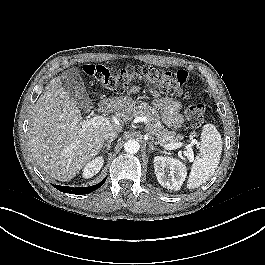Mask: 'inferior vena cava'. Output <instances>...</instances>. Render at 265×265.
I'll return each instance as SVG.
<instances>
[{
    "label": "inferior vena cava",
    "instance_id": "602c4592",
    "mask_svg": "<svg viewBox=\"0 0 265 265\" xmlns=\"http://www.w3.org/2000/svg\"><path fill=\"white\" fill-rule=\"evenodd\" d=\"M117 137H118V134L116 131H108V132L103 133V138L107 141L114 140Z\"/></svg>",
    "mask_w": 265,
    "mask_h": 265
}]
</instances>
